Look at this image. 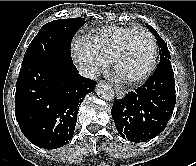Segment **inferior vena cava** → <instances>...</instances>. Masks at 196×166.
<instances>
[{
    "mask_svg": "<svg viewBox=\"0 0 196 166\" xmlns=\"http://www.w3.org/2000/svg\"><path fill=\"white\" fill-rule=\"evenodd\" d=\"M79 74L83 77L90 78V79H96L99 77V72L89 65H81L78 68Z\"/></svg>",
    "mask_w": 196,
    "mask_h": 166,
    "instance_id": "inferior-vena-cava-1",
    "label": "inferior vena cava"
}]
</instances>
